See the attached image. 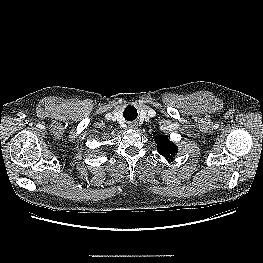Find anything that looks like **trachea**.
<instances>
[{
	"label": "trachea",
	"mask_w": 263,
	"mask_h": 263,
	"mask_svg": "<svg viewBox=\"0 0 263 263\" xmlns=\"http://www.w3.org/2000/svg\"><path fill=\"white\" fill-rule=\"evenodd\" d=\"M123 116L127 121L135 120L138 116L136 108L131 105L127 106L123 112Z\"/></svg>",
	"instance_id": "3493384b"
}]
</instances>
